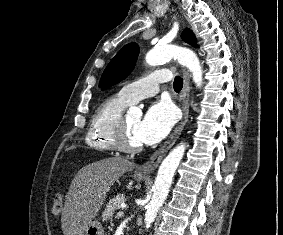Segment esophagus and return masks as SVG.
Masks as SVG:
<instances>
[{
    "label": "esophagus",
    "instance_id": "34e87169",
    "mask_svg": "<svg viewBox=\"0 0 283 235\" xmlns=\"http://www.w3.org/2000/svg\"><path fill=\"white\" fill-rule=\"evenodd\" d=\"M183 88L180 94V105L182 109V119L180 123L176 126L173 132L170 134L168 139L161 145L150 157L149 159L137 168V171L143 175H150L156 170L161 160L164 158L166 153L175 144L179 135L181 134L187 120L189 117V95H190V77L186 69L183 70Z\"/></svg>",
    "mask_w": 283,
    "mask_h": 235
}]
</instances>
